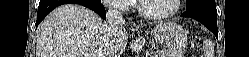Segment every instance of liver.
<instances>
[{
  "instance_id": "obj_1",
  "label": "liver",
  "mask_w": 249,
  "mask_h": 57,
  "mask_svg": "<svg viewBox=\"0 0 249 57\" xmlns=\"http://www.w3.org/2000/svg\"><path fill=\"white\" fill-rule=\"evenodd\" d=\"M128 32L120 27L111 31L102 18L90 9L64 4L54 9L39 25L36 57H120L128 41ZM145 39L138 37L130 46L143 50Z\"/></svg>"
}]
</instances>
